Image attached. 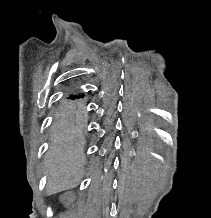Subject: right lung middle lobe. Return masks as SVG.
<instances>
[{
	"mask_svg": "<svg viewBox=\"0 0 211 218\" xmlns=\"http://www.w3.org/2000/svg\"><path fill=\"white\" fill-rule=\"evenodd\" d=\"M86 106L83 98H65L59 105L63 112H74L84 109Z\"/></svg>",
	"mask_w": 211,
	"mask_h": 218,
	"instance_id": "1",
	"label": "right lung middle lobe"
}]
</instances>
